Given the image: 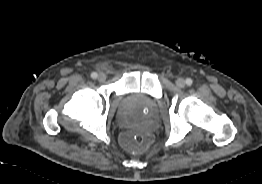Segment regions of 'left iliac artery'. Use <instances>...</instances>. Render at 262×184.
Returning a JSON list of instances; mask_svg holds the SVG:
<instances>
[{"label": "left iliac artery", "mask_w": 262, "mask_h": 184, "mask_svg": "<svg viewBox=\"0 0 262 184\" xmlns=\"http://www.w3.org/2000/svg\"><path fill=\"white\" fill-rule=\"evenodd\" d=\"M192 83H193V81H192L191 78H187V79H186V84H187L188 86H191Z\"/></svg>", "instance_id": "1"}]
</instances>
